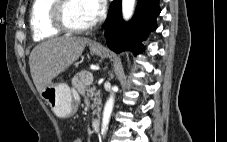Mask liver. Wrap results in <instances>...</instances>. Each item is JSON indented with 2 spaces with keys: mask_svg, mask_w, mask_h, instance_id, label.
I'll return each mask as SVG.
<instances>
[{
  "mask_svg": "<svg viewBox=\"0 0 227 142\" xmlns=\"http://www.w3.org/2000/svg\"><path fill=\"white\" fill-rule=\"evenodd\" d=\"M88 42L82 37L62 36L35 46L29 56V66L40 94L45 86L81 56Z\"/></svg>",
  "mask_w": 227,
  "mask_h": 142,
  "instance_id": "obj_1",
  "label": "liver"
}]
</instances>
